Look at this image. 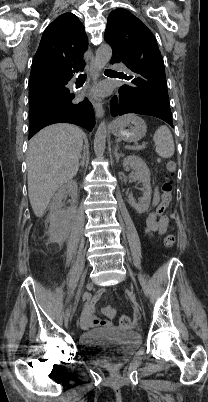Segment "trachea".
<instances>
[{
  "instance_id": "obj_1",
  "label": "trachea",
  "mask_w": 208,
  "mask_h": 402,
  "mask_svg": "<svg viewBox=\"0 0 208 402\" xmlns=\"http://www.w3.org/2000/svg\"><path fill=\"white\" fill-rule=\"evenodd\" d=\"M105 72H114V70H105ZM78 78H86L85 74L79 75Z\"/></svg>"
}]
</instances>
